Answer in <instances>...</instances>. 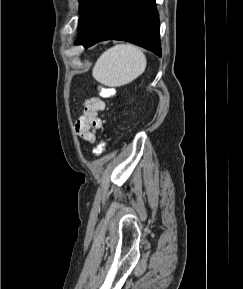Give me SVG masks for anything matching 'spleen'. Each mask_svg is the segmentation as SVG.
Listing matches in <instances>:
<instances>
[{
	"mask_svg": "<svg viewBox=\"0 0 243 289\" xmlns=\"http://www.w3.org/2000/svg\"><path fill=\"white\" fill-rule=\"evenodd\" d=\"M146 65V57L138 47L119 44L102 53L93 67L92 75L105 86L119 87L140 76Z\"/></svg>",
	"mask_w": 243,
	"mask_h": 289,
	"instance_id": "3e777b00",
	"label": "spleen"
}]
</instances>
